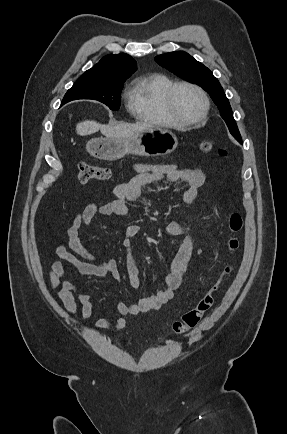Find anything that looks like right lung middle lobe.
I'll return each instance as SVG.
<instances>
[{
    "instance_id": "right-lung-middle-lobe-1",
    "label": "right lung middle lobe",
    "mask_w": 287,
    "mask_h": 434,
    "mask_svg": "<svg viewBox=\"0 0 287 434\" xmlns=\"http://www.w3.org/2000/svg\"><path fill=\"white\" fill-rule=\"evenodd\" d=\"M124 81L79 78L67 91L62 104L76 99H94L107 105L111 110H118L121 103V91Z\"/></svg>"
}]
</instances>
